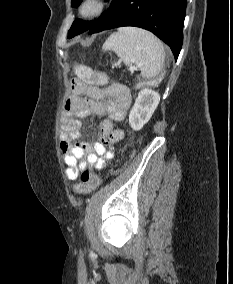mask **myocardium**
I'll use <instances>...</instances> for the list:
<instances>
[{
    "instance_id": "obj_1",
    "label": "myocardium",
    "mask_w": 233,
    "mask_h": 284,
    "mask_svg": "<svg viewBox=\"0 0 233 284\" xmlns=\"http://www.w3.org/2000/svg\"><path fill=\"white\" fill-rule=\"evenodd\" d=\"M105 6V0H82L78 7V13L82 18L92 19L101 14Z\"/></svg>"
}]
</instances>
